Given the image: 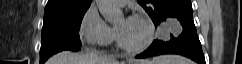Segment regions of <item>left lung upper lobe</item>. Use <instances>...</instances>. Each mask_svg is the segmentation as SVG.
Instances as JSON below:
<instances>
[{"label": "left lung upper lobe", "mask_w": 242, "mask_h": 64, "mask_svg": "<svg viewBox=\"0 0 242 64\" xmlns=\"http://www.w3.org/2000/svg\"><path fill=\"white\" fill-rule=\"evenodd\" d=\"M137 2L149 14L155 26L162 23L170 13L191 6V0H137Z\"/></svg>", "instance_id": "5c2ea615"}]
</instances>
